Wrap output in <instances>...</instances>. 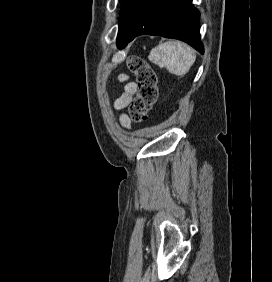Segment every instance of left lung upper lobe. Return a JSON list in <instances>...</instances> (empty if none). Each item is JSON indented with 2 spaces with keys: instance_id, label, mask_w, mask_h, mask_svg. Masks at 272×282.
Masks as SVG:
<instances>
[{
  "instance_id": "left-lung-upper-lobe-1",
  "label": "left lung upper lobe",
  "mask_w": 272,
  "mask_h": 282,
  "mask_svg": "<svg viewBox=\"0 0 272 282\" xmlns=\"http://www.w3.org/2000/svg\"><path fill=\"white\" fill-rule=\"evenodd\" d=\"M119 1L121 2V4H123L125 0H119Z\"/></svg>"
}]
</instances>
